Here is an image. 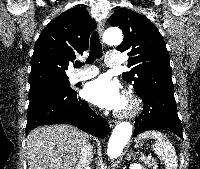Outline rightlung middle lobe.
Returning a JSON list of instances; mask_svg holds the SVG:
<instances>
[{
  "mask_svg": "<svg viewBox=\"0 0 200 169\" xmlns=\"http://www.w3.org/2000/svg\"><path fill=\"white\" fill-rule=\"evenodd\" d=\"M57 89L72 91L68 78L63 79H48L37 84L31 85L29 90V97L36 94H45Z\"/></svg>",
  "mask_w": 200,
  "mask_h": 169,
  "instance_id": "obj_1",
  "label": "right lung middle lobe"
}]
</instances>
